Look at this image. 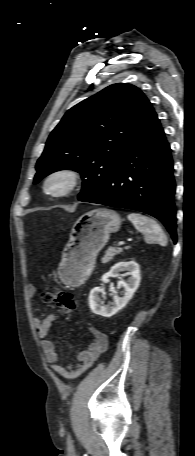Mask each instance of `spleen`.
Wrapping results in <instances>:
<instances>
[{
  "instance_id": "spleen-1",
  "label": "spleen",
  "mask_w": 195,
  "mask_h": 456,
  "mask_svg": "<svg viewBox=\"0 0 195 456\" xmlns=\"http://www.w3.org/2000/svg\"><path fill=\"white\" fill-rule=\"evenodd\" d=\"M127 217L147 241L157 242L163 246L167 244L164 231L154 219L139 213H130Z\"/></svg>"
}]
</instances>
